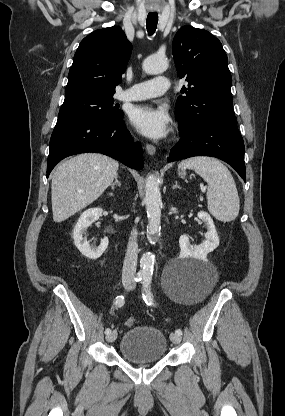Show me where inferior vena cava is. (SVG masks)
Here are the masks:
<instances>
[{
	"label": "inferior vena cava",
	"instance_id": "obj_1",
	"mask_svg": "<svg viewBox=\"0 0 285 416\" xmlns=\"http://www.w3.org/2000/svg\"><path fill=\"white\" fill-rule=\"evenodd\" d=\"M137 236V230H132L123 264V274L125 276H134L136 272L138 256Z\"/></svg>",
	"mask_w": 285,
	"mask_h": 416
}]
</instances>
